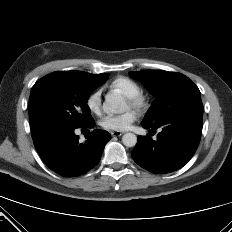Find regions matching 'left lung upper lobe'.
I'll return each instance as SVG.
<instances>
[{"label":"left lung upper lobe","mask_w":232,"mask_h":232,"mask_svg":"<svg viewBox=\"0 0 232 232\" xmlns=\"http://www.w3.org/2000/svg\"><path fill=\"white\" fill-rule=\"evenodd\" d=\"M156 98L143 121L158 125L180 113L202 110L198 87L185 75L162 70L129 72Z\"/></svg>","instance_id":"5c2ea615"}]
</instances>
